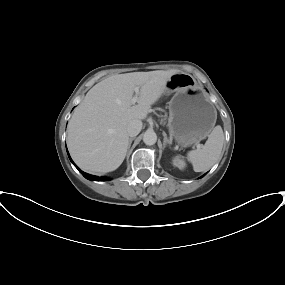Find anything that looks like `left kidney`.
<instances>
[{
    "mask_svg": "<svg viewBox=\"0 0 285 285\" xmlns=\"http://www.w3.org/2000/svg\"><path fill=\"white\" fill-rule=\"evenodd\" d=\"M173 165L178 167L179 169H184L186 166V163L183 159H181L180 157H175L173 159Z\"/></svg>",
    "mask_w": 285,
    "mask_h": 285,
    "instance_id": "obj_1",
    "label": "left kidney"
}]
</instances>
